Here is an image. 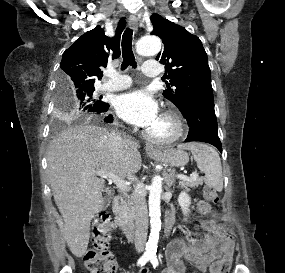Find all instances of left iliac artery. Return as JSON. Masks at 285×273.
I'll use <instances>...</instances> for the list:
<instances>
[{"label":"left iliac artery","instance_id":"obj_1","mask_svg":"<svg viewBox=\"0 0 285 273\" xmlns=\"http://www.w3.org/2000/svg\"><path fill=\"white\" fill-rule=\"evenodd\" d=\"M150 262L154 268L158 266V259L156 255H150Z\"/></svg>","mask_w":285,"mask_h":273}]
</instances>
